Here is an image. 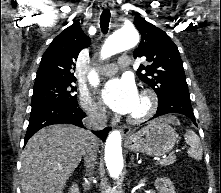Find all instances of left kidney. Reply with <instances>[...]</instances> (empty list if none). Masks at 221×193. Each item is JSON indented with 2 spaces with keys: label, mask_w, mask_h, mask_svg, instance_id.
I'll use <instances>...</instances> for the list:
<instances>
[{
  "label": "left kidney",
  "mask_w": 221,
  "mask_h": 193,
  "mask_svg": "<svg viewBox=\"0 0 221 193\" xmlns=\"http://www.w3.org/2000/svg\"><path fill=\"white\" fill-rule=\"evenodd\" d=\"M155 188L159 193H175L174 185L169 178H157Z\"/></svg>",
  "instance_id": "left-kidney-1"
}]
</instances>
